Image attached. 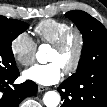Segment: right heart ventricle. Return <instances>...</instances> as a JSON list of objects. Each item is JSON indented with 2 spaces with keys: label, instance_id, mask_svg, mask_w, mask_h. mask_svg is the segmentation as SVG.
<instances>
[{
  "label": "right heart ventricle",
  "instance_id": "e07e8e85",
  "mask_svg": "<svg viewBox=\"0 0 107 107\" xmlns=\"http://www.w3.org/2000/svg\"><path fill=\"white\" fill-rule=\"evenodd\" d=\"M70 27L72 26L63 20L44 19L35 26L34 32L39 42L53 44Z\"/></svg>",
  "mask_w": 107,
  "mask_h": 107
}]
</instances>
